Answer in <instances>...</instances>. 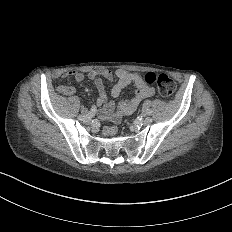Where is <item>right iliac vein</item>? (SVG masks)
I'll use <instances>...</instances> for the list:
<instances>
[{
  "instance_id": "obj_1",
  "label": "right iliac vein",
  "mask_w": 232,
  "mask_h": 232,
  "mask_svg": "<svg viewBox=\"0 0 232 232\" xmlns=\"http://www.w3.org/2000/svg\"><path fill=\"white\" fill-rule=\"evenodd\" d=\"M91 123H92V120H91V119H88V120H85V121H84V124H85V125H88V124H91Z\"/></svg>"
}]
</instances>
